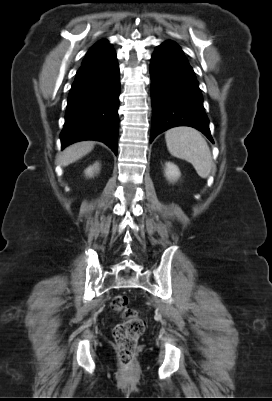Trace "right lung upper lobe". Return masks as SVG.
Masks as SVG:
<instances>
[{
    "instance_id": "right-lung-upper-lobe-1",
    "label": "right lung upper lobe",
    "mask_w": 272,
    "mask_h": 401,
    "mask_svg": "<svg viewBox=\"0 0 272 401\" xmlns=\"http://www.w3.org/2000/svg\"><path fill=\"white\" fill-rule=\"evenodd\" d=\"M108 45L109 44H108L107 40H105V39L100 40L99 42H97L95 45H93L90 48V50L86 54V57L91 55V54H93V53H95V52H97V51H99V50H101L102 48H104V47H106Z\"/></svg>"
}]
</instances>
